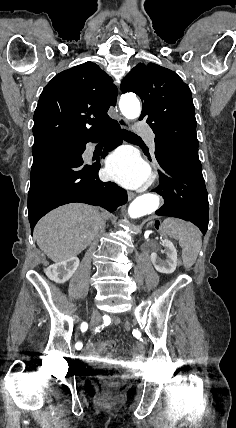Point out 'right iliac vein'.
Returning <instances> with one entry per match:
<instances>
[{"mask_svg": "<svg viewBox=\"0 0 236 428\" xmlns=\"http://www.w3.org/2000/svg\"><path fill=\"white\" fill-rule=\"evenodd\" d=\"M96 319H97V316H96V315H93V316H92V320H91V321L93 322V323L91 324L93 327L96 325V324L94 323V322L96 321Z\"/></svg>", "mask_w": 236, "mask_h": 428, "instance_id": "63e3f726", "label": "right iliac vein"}]
</instances>
